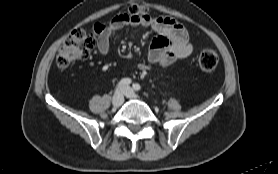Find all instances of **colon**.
<instances>
[{"mask_svg":"<svg viewBox=\"0 0 278 174\" xmlns=\"http://www.w3.org/2000/svg\"><path fill=\"white\" fill-rule=\"evenodd\" d=\"M146 9L140 5H132L129 13L132 15L145 13ZM108 24H96L94 32L96 35L104 32ZM96 46V39L93 35L86 33L82 29L72 31L59 48L56 62L60 68H65L73 62L84 59L93 51ZM219 61L217 52L212 48L203 49L198 58L199 67L206 72L213 71Z\"/></svg>","mask_w":278,"mask_h":174,"instance_id":"colon-1","label":"colon"}]
</instances>
